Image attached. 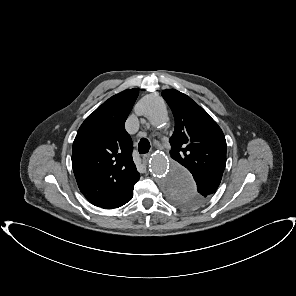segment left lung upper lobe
Segmentation results:
<instances>
[{"mask_svg":"<svg viewBox=\"0 0 296 296\" xmlns=\"http://www.w3.org/2000/svg\"><path fill=\"white\" fill-rule=\"evenodd\" d=\"M172 110L175 130L170 138L171 157L194 177L197 191H172L170 201L181 207L206 202L218 188L226 166V140L218 124L187 95L162 91Z\"/></svg>","mask_w":296,"mask_h":296,"instance_id":"obj_1","label":"left lung upper lobe"}]
</instances>
